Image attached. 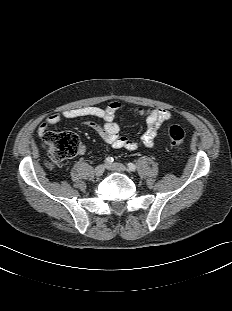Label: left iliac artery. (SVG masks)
I'll return each mask as SVG.
<instances>
[{"label":"left iliac artery","mask_w":232,"mask_h":311,"mask_svg":"<svg viewBox=\"0 0 232 311\" xmlns=\"http://www.w3.org/2000/svg\"><path fill=\"white\" fill-rule=\"evenodd\" d=\"M127 167H128V169H129L130 171H135V170H136V166H135V164H133V163H128V164H127Z\"/></svg>","instance_id":"1"}]
</instances>
